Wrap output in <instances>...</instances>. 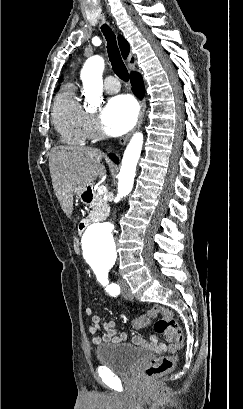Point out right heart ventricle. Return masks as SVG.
I'll list each match as a JSON object with an SVG mask.
<instances>
[{
  "mask_svg": "<svg viewBox=\"0 0 243 409\" xmlns=\"http://www.w3.org/2000/svg\"><path fill=\"white\" fill-rule=\"evenodd\" d=\"M85 113L75 95V88L68 84L54 101L52 118L55 129L62 140L68 144H82L86 138Z\"/></svg>",
  "mask_w": 243,
  "mask_h": 409,
  "instance_id": "1",
  "label": "right heart ventricle"
}]
</instances>
